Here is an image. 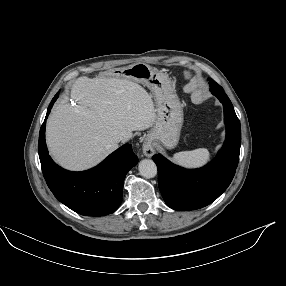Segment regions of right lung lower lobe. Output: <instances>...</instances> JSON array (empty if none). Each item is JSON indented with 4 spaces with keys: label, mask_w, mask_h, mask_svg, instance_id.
<instances>
[{
    "label": "right lung lower lobe",
    "mask_w": 286,
    "mask_h": 286,
    "mask_svg": "<svg viewBox=\"0 0 286 286\" xmlns=\"http://www.w3.org/2000/svg\"><path fill=\"white\" fill-rule=\"evenodd\" d=\"M52 99L39 134V158L46 183L54 196L73 211L85 216L113 213L122 202L123 182L128 171L138 162L130 144L110 154L98 166L84 171L64 170L48 155L45 143L46 119L58 98Z\"/></svg>",
    "instance_id": "1"
}]
</instances>
